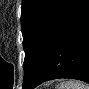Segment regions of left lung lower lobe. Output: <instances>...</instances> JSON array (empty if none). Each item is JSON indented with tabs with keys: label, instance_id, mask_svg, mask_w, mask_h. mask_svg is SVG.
<instances>
[{
	"label": "left lung lower lobe",
	"instance_id": "0a47b994",
	"mask_svg": "<svg viewBox=\"0 0 89 89\" xmlns=\"http://www.w3.org/2000/svg\"><path fill=\"white\" fill-rule=\"evenodd\" d=\"M44 73L46 74L43 75ZM57 78H74L88 82L89 0L72 1L55 29L38 72L27 89Z\"/></svg>",
	"mask_w": 89,
	"mask_h": 89
}]
</instances>
